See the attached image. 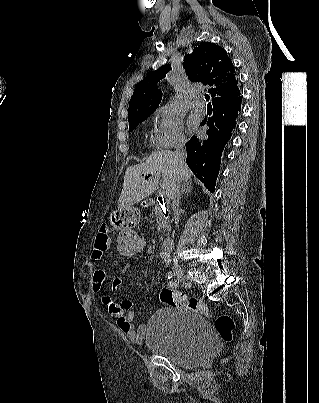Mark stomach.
Masks as SVG:
<instances>
[{"mask_svg": "<svg viewBox=\"0 0 319 403\" xmlns=\"http://www.w3.org/2000/svg\"><path fill=\"white\" fill-rule=\"evenodd\" d=\"M111 228L119 229L120 234H125L126 230L137 228L141 223V216L135 208H127L125 210H111L110 212Z\"/></svg>", "mask_w": 319, "mask_h": 403, "instance_id": "stomach-1", "label": "stomach"}]
</instances>
